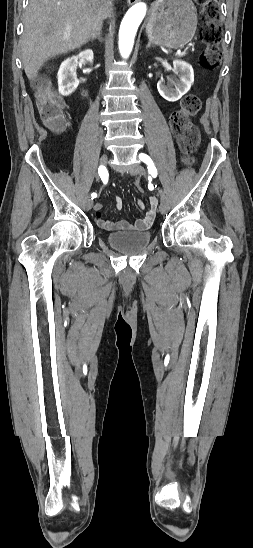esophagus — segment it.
Instances as JSON below:
<instances>
[{
	"instance_id": "1",
	"label": "esophagus",
	"mask_w": 253,
	"mask_h": 548,
	"mask_svg": "<svg viewBox=\"0 0 253 548\" xmlns=\"http://www.w3.org/2000/svg\"><path fill=\"white\" fill-rule=\"evenodd\" d=\"M137 1H138V0H127V3H128L129 5H133V4H135Z\"/></svg>"
}]
</instances>
